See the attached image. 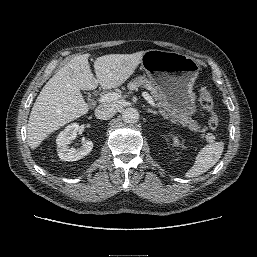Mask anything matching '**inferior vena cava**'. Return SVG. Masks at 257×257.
Returning a JSON list of instances; mask_svg holds the SVG:
<instances>
[{"label": "inferior vena cava", "instance_id": "1", "mask_svg": "<svg viewBox=\"0 0 257 257\" xmlns=\"http://www.w3.org/2000/svg\"><path fill=\"white\" fill-rule=\"evenodd\" d=\"M118 105L114 103H104L95 109V116L100 120H108L117 112Z\"/></svg>", "mask_w": 257, "mask_h": 257}]
</instances>
